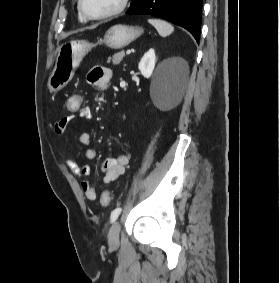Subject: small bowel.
<instances>
[{
    "label": "small bowel",
    "mask_w": 280,
    "mask_h": 283,
    "mask_svg": "<svg viewBox=\"0 0 280 283\" xmlns=\"http://www.w3.org/2000/svg\"><path fill=\"white\" fill-rule=\"evenodd\" d=\"M87 79L92 85L106 87L111 79V70L105 67H98L88 74ZM80 109V112L70 113H77L83 119H88L91 116V110L88 107H82ZM72 120L73 117L69 115L61 117L55 122L54 131L58 134L62 133ZM79 141L84 146L85 159L93 160L96 157V150L93 146L90 133L86 131L82 132L79 136ZM129 161L130 155L126 153H119L116 156L104 158L100 163V171L103 174L101 183L109 184L117 180L124 174ZM65 164L73 174L82 178L80 186L85 196L90 200H94L97 196V191L87 179L90 174V166L88 164L80 165L70 158L65 159Z\"/></svg>",
    "instance_id": "small-bowel-1"
}]
</instances>
